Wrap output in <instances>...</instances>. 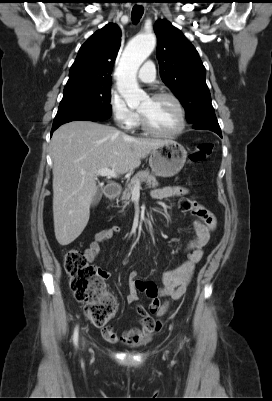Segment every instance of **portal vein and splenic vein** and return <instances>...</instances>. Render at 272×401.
<instances>
[{
	"label": "portal vein and splenic vein",
	"instance_id": "obj_1",
	"mask_svg": "<svg viewBox=\"0 0 272 401\" xmlns=\"http://www.w3.org/2000/svg\"><path fill=\"white\" fill-rule=\"evenodd\" d=\"M82 174H85V173H82ZM95 174H96V176H103V177H108V178H117L118 177V173L109 168L99 169L98 171L95 172ZM135 188H137V189L140 188L139 182L135 183Z\"/></svg>",
	"mask_w": 272,
	"mask_h": 401
}]
</instances>
